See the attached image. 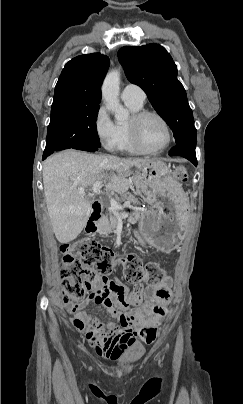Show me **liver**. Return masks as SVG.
Listing matches in <instances>:
<instances>
[{"instance_id": "liver-1", "label": "liver", "mask_w": 243, "mask_h": 404, "mask_svg": "<svg viewBox=\"0 0 243 404\" xmlns=\"http://www.w3.org/2000/svg\"><path fill=\"white\" fill-rule=\"evenodd\" d=\"M156 158H116L95 156L75 150L53 154L43 164L44 194L53 232L60 244L75 240L85 228L90 216L91 204L79 194L81 188L92 186L106 178V170H115L107 190L118 194L127 192L131 168H142Z\"/></svg>"}]
</instances>
